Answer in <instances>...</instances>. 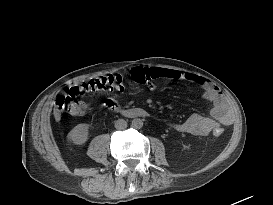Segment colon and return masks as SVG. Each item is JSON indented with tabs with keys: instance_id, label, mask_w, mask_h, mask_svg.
Masks as SVG:
<instances>
[{
	"instance_id": "obj_1",
	"label": "colon",
	"mask_w": 273,
	"mask_h": 205,
	"mask_svg": "<svg viewBox=\"0 0 273 205\" xmlns=\"http://www.w3.org/2000/svg\"><path fill=\"white\" fill-rule=\"evenodd\" d=\"M150 73L147 68H133L128 73L127 78L122 75H108L93 78L84 83L81 87H74L70 94L60 97L56 100V107L59 111L68 114H80L85 110V104L79 100L83 91L97 90H122L127 80L136 83H145L150 79ZM223 133L221 128L213 131L214 136L219 137Z\"/></svg>"
}]
</instances>
